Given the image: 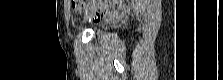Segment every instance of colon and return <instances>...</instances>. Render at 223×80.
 <instances>
[{"mask_svg":"<svg viewBox=\"0 0 223 80\" xmlns=\"http://www.w3.org/2000/svg\"><path fill=\"white\" fill-rule=\"evenodd\" d=\"M123 0H112V1H109V5L112 6V7H119L123 4ZM71 4H72V7L78 11H81L82 8H83V5H84V1L82 0H72L71 1ZM104 17V14L103 13H100V14H96L95 16H93L92 20L94 22H99L102 18Z\"/></svg>","mask_w":223,"mask_h":80,"instance_id":"5ec220e1","label":"colon"}]
</instances>
